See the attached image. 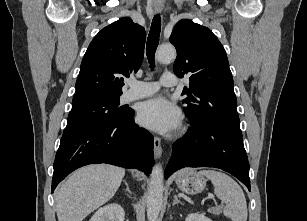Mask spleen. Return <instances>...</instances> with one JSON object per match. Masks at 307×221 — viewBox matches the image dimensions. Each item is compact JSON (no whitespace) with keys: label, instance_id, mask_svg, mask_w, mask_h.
<instances>
[{"label":"spleen","instance_id":"obj_1","mask_svg":"<svg viewBox=\"0 0 307 221\" xmlns=\"http://www.w3.org/2000/svg\"><path fill=\"white\" fill-rule=\"evenodd\" d=\"M200 174L212 181L215 195L227 203L223 210L224 215L232 221H246V199L238 183L227 174L216 170H202Z\"/></svg>","mask_w":307,"mask_h":221}]
</instances>
